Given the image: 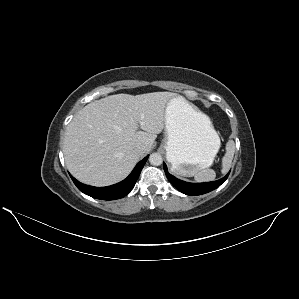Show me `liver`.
Instances as JSON below:
<instances>
[{
  "label": "liver",
  "instance_id": "6515ba94",
  "mask_svg": "<svg viewBox=\"0 0 299 299\" xmlns=\"http://www.w3.org/2000/svg\"><path fill=\"white\" fill-rule=\"evenodd\" d=\"M174 96L116 94L87 104L66 128L63 153L69 172L93 186L126 178L165 128L166 105ZM138 144L144 153L135 152Z\"/></svg>",
  "mask_w": 299,
  "mask_h": 299
}]
</instances>
